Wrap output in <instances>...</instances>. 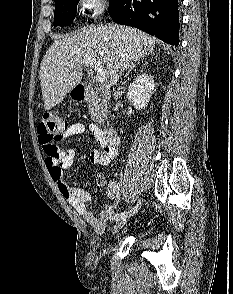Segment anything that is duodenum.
I'll return each instance as SVG.
<instances>
[{"label": "duodenum", "instance_id": "obj_1", "mask_svg": "<svg viewBox=\"0 0 233 294\" xmlns=\"http://www.w3.org/2000/svg\"><path fill=\"white\" fill-rule=\"evenodd\" d=\"M89 95V89L84 86V85H78L75 89H74V96L76 98V100H85L87 98V96ZM103 133V137L104 139L112 144V145H116L119 142V137L117 132L112 129L109 126H106L103 128L102 130Z\"/></svg>", "mask_w": 233, "mask_h": 294}]
</instances>
